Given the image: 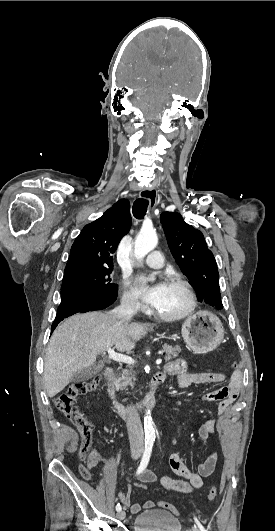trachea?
<instances>
[{
  "mask_svg": "<svg viewBox=\"0 0 275 531\" xmlns=\"http://www.w3.org/2000/svg\"><path fill=\"white\" fill-rule=\"evenodd\" d=\"M149 201L144 198L136 199L133 204L132 212L135 218L143 219L148 208Z\"/></svg>",
  "mask_w": 275,
  "mask_h": 531,
  "instance_id": "3493384b",
  "label": "trachea"
}]
</instances>
